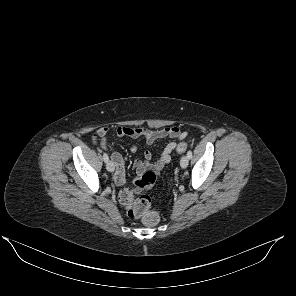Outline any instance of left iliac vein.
<instances>
[{
  "label": "left iliac vein",
  "instance_id": "1",
  "mask_svg": "<svg viewBox=\"0 0 296 296\" xmlns=\"http://www.w3.org/2000/svg\"><path fill=\"white\" fill-rule=\"evenodd\" d=\"M189 163V158L187 156H182L181 160H180V165L183 169L187 168Z\"/></svg>",
  "mask_w": 296,
  "mask_h": 296
}]
</instances>
